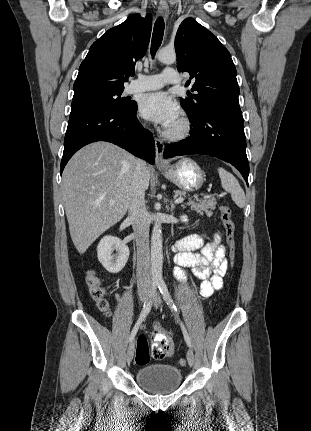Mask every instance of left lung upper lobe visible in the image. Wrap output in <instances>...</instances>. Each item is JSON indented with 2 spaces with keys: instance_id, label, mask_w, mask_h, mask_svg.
<instances>
[{
  "instance_id": "1",
  "label": "left lung upper lobe",
  "mask_w": 311,
  "mask_h": 431,
  "mask_svg": "<svg viewBox=\"0 0 311 431\" xmlns=\"http://www.w3.org/2000/svg\"><path fill=\"white\" fill-rule=\"evenodd\" d=\"M175 51L178 71L190 74L187 82L197 92L181 98L189 119H197L215 106L239 105L236 68L214 34L195 19L186 18L178 28Z\"/></svg>"
}]
</instances>
